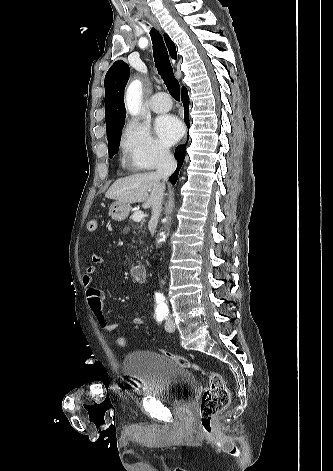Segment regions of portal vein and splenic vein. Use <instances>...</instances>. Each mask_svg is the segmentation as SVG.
Instances as JSON below:
<instances>
[{
	"mask_svg": "<svg viewBox=\"0 0 333 471\" xmlns=\"http://www.w3.org/2000/svg\"><path fill=\"white\" fill-rule=\"evenodd\" d=\"M144 213L142 211L134 212L132 218L135 222H140L144 218Z\"/></svg>",
	"mask_w": 333,
	"mask_h": 471,
	"instance_id": "obj_1",
	"label": "portal vein and splenic vein"
}]
</instances>
